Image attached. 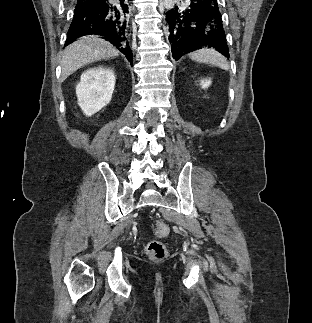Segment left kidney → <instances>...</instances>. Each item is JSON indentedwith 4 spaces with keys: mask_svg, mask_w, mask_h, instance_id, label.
I'll return each mask as SVG.
<instances>
[{
    "mask_svg": "<svg viewBox=\"0 0 312 323\" xmlns=\"http://www.w3.org/2000/svg\"><path fill=\"white\" fill-rule=\"evenodd\" d=\"M210 84H211V80H207V78H203V80H201L200 86H202V88H208Z\"/></svg>",
    "mask_w": 312,
    "mask_h": 323,
    "instance_id": "left-kidney-1",
    "label": "left kidney"
}]
</instances>
